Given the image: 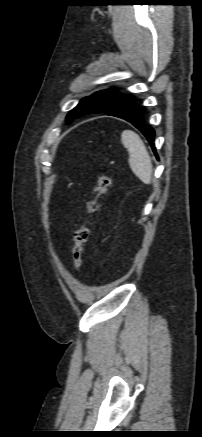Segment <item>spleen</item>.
I'll return each instance as SVG.
<instances>
[{"label":"spleen","instance_id":"spleen-1","mask_svg":"<svg viewBox=\"0 0 202 437\" xmlns=\"http://www.w3.org/2000/svg\"><path fill=\"white\" fill-rule=\"evenodd\" d=\"M121 142L129 152V165L133 173L145 184L152 180V162L141 138L131 130H124Z\"/></svg>","mask_w":202,"mask_h":437}]
</instances>
